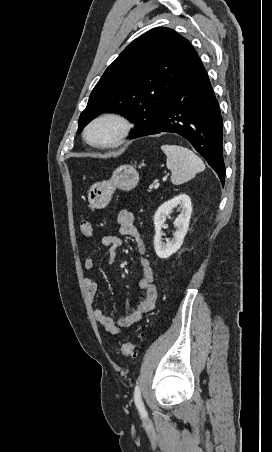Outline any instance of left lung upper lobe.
<instances>
[{
	"instance_id": "left-lung-upper-lobe-1",
	"label": "left lung upper lobe",
	"mask_w": 272,
	"mask_h": 452,
	"mask_svg": "<svg viewBox=\"0 0 272 452\" xmlns=\"http://www.w3.org/2000/svg\"><path fill=\"white\" fill-rule=\"evenodd\" d=\"M196 55L190 42L170 28L144 33L106 69L80 115L78 132L106 111L122 112L135 130L152 126Z\"/></svg>"
}]
</instances>
